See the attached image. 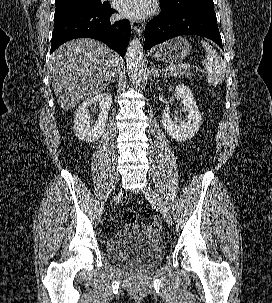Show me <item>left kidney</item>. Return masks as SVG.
<instances>
[{
	"mask_svg": "<svg viewBox=\"0 0 272 303\" xmlns=\"http://www.w3.org/2000/svg\"><path fill=\"white\" fill-rule=\"evenodd\" d=\"M175 92L182 99V110L188 112V116L185 120H175L171 117L169 110L164 109L162 123L171 138L177 141H185L191 139L199 131L202 118L189 87L179 84L175 87Z\"/></svg>",
	"mask_w": 272,
	"mask_h": 303,
	"instance_id": "5707ae66",
	"label": "left kidney"
}]
</instances>
